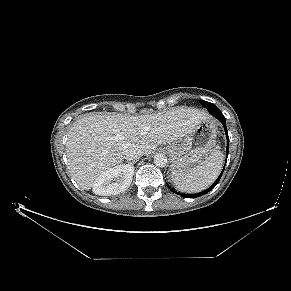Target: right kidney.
<instances>
[{
  "instance_id": "1",
  "label": "right kidney",
  "mask_w": 291,
  "mask_h": 291,
  "mask_svg": "<svg viewBox=\"0 0 291 291\" xmlns=\"http://www.w3.org/2000/svg\"><path fill=\"white\" fill-rule=\"evenodd\" d=\"M134 167L122 164L100 174L94 184L93 192L97 195H116L124 192L132 181ZM115 180V182H111Z\"/></svg>"
}]
</instances>
